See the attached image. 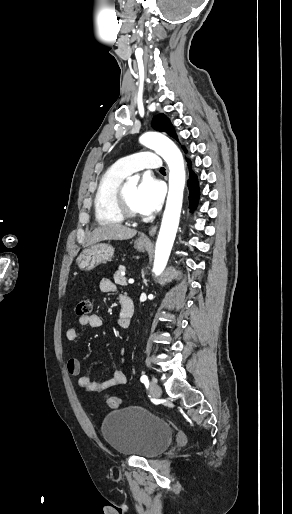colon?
I'll return each instance as SVG.
<instances>
[{"label": "colon", "mask_w": 292, "mask_h": 514, "mask_svg": "<svg viewBox=\"0 0 292 514\" xmlns=\"http://www.w3.org/2000/svg\"><path fill=\"white\" fill-rule=\"evenodd\" d=\"M91 312V302L89 299H82L76 305V313L78 315H88ZM121 400L115 396L105 397V406L107 409L114 411L119 408Z\"/></svg>", "instance_id": "5ec220e1"}]
</instances>
